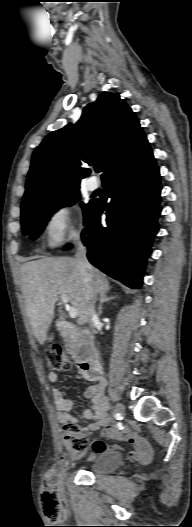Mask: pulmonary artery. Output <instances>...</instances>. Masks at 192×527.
I'll return each mask as SVG.
<instances>
[{
    "label": "pulmonary artery",
    "instance_id": "e3ab8cb5",
    "mask_svg": "<svg viewBox=\"0 0 192 527\" xmlns=\"http://www.w3.org/2000/svg\"><path fill=\"white\" fill-rule=\"evenodd\" d=\"M98 188V182L96 179L94 178H90L88 181H87V189L89 191H95L96 189Z\"/></svg>",
    "mask_w": 192,
    "mask_h": 527
}]
</instances>
